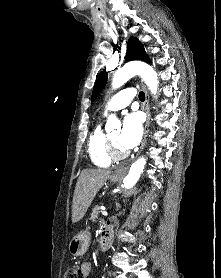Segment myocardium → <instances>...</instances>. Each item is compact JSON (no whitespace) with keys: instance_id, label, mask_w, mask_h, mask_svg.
Returning a JSON list of instances; mask_svg holds the SVG:
<instances>
[{"instance_id":"myocardium-1","label":"myocardium","mask_w":221,"mask_h":278,"mask_svg":"<svg viewBox=\"0 0 221 278\" xmlns=\"http://www.w3.org/2000/svg\"><path fill=\"white\" fill-rule=\"evenodd\" d=\"M105 149L108 157L111 160H122L129 155V152L126 150H122V151L117 150L108 134L106 135Z\"/></svg>"}]
</instances>
